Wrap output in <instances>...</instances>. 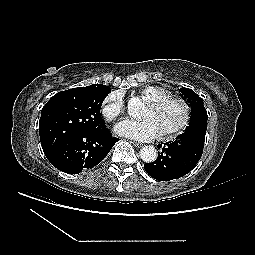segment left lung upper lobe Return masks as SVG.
I'll return each instance as SVG.
<instances>
[{
  "label": "left lung upper lobe",
  "mask_w": 255,
  "mask_h": 255,
  "mask_svg": "<svg viewBox=\"0 0 255 255\" xmlns=\"http://www.w3.org/2000/svg\"><path fill=\"white\" fill-rule=\"evenodd\" d=\"M180 92L187 99L192 109L190 125L186 127L185 133L181 135H187L194 129H207L208 116L207 111L203 105V99L189 88L182 87Z\"/></svg>",
  "instance_id": "left-lung-upper-lobe-1"
}]
</instances>
